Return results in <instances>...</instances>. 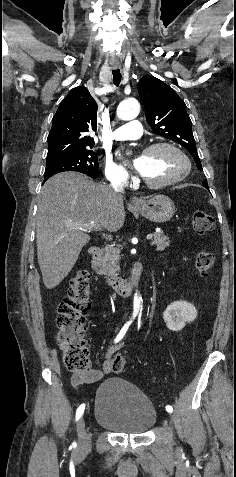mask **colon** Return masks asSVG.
I'll return each instance as SVG.
<instances>
[{"mask_svg":"<svg viewBox=\"0 0 236 477\" xmlns=\"http://www.w3.org/2000/svg\"><path fill=\"white\" fill-rule=\"evenodd\" d=\"M193 229L203 235L214 227L211 215L196 211L192 216ZM214 265V255L200 252L196 259V270L207 276ZM91 284L89 273L81 269L72 278L64 299L57 308L58 332L56 340L63 351V362L72 372H84L89 366V350L84 339L86 314L90 309ZM111 371L119 373L125 366V359L118 355L111 362Z\"/></svg>","mask_w":236,"mask_h":477,"instance_id":"obj_1","label":"colon"}]
</instances>
